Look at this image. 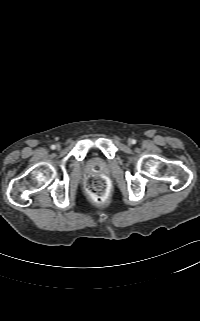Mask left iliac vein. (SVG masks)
Returning <instances> with one entry per match:
<instances>
[{
	"instance_id": "1",
	"label": "left iliac vein",
	"mask_w": 200,
	"mask_h": 321,
	"mask_svg": "<svg viewBox=\"0 0 200 321\" xmlns=\"http://www.w3.org/2000/svg\"><path fill=\"white\" fill-rule=\"evenodd\" d=\"M128 144H129V145L132 144V140H131V139L128 140Z\"/></svg>"
}]
</instances>
